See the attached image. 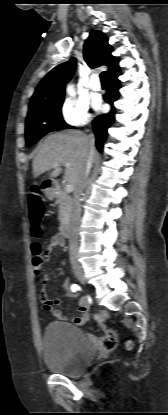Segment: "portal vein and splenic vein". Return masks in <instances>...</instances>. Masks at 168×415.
I'll use <instances>...</instances> for the list:
<instances>
[{
    "label": "portal vein and splenic vein",
    "mask_w": 168,
    "mask_h": 415,
    "mask_svg": "<svg viewBox=\"0 0 168 415\" xmlns=\"http://www.w3.org/2000/svg\"><path fill=\"white\" fill-rule=\"evenodd\" d=\"M55 166H58V164H55ZM65 166L66 167H69V164L66 163ZM72 190H73V186L71 184H66V186H65V192L66 193H70V192H72Z\"/></svg>",
    "instance_id": "18ae733b"
}]
</instances>
